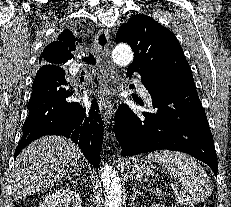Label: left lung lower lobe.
I'll return each mask as SVG.
<instances>
[{"label": "left lung lower lobe", "mask_w": 231, "mask_h": 207, "mask_svg": "<svg viewBox=\"0 0 231 207\" xmlns=\"http://www.w3.org/2000/svg\"><path fill=\"white\" fill-rule=\"evenodd\" d=\"M136 70L128 69V75ZM152 97L156 113L135 114L122 104L115 119V136L122 156L168 149L203 161L217 176L213 136L195 87L168 92L165 80L156 73L139 72Z\"/></svg>", "instance_id": "left-lung-lower-lobe-1"}]
</instances>
